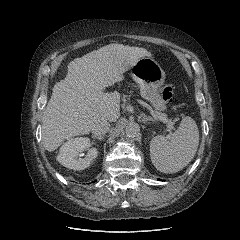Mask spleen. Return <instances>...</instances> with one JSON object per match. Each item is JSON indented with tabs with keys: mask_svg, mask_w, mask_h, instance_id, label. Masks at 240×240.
<instances>
[{
	"mask_svg": "<svg viewBox=\"0 0 240 240\" xmlns=\"http://www.w3.org/2000/svg\"><path fill=\"white\" fill-rule=\"evenodd\" d=\"M199 130L189 116L182 119L171 139L156 136L150 142V157L157 170L175 173L186 167L196 154Z\"/></svg>",
	"mask_w": 240,
	"mask_h": 240,
	"instance_id": "spleen-1",
	"label": "spleen"
}]
</instances>
